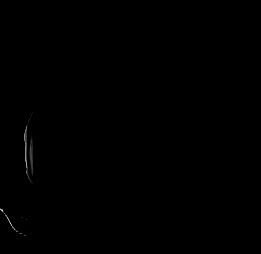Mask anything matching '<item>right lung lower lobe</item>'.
I'll return each mask as SVG.
<instances>
[{
	"instance_id": "1",
	"label": "right lung lower lobe",
	"mask_w": 261,
	"mask_h": 254,
	"mask_svg": "<svg viewBox=\"0 0 261 254\" xmlns=\"http://www.w3.org/2000/svg\"><path fill=\"white\" fill-rule=\"evenodd\" d=\"M102 143L78 124L52 119L45 131L44 149L56 186L84 200L100 196L109 174V161L98 152Z\"/></svg>"
}]
</instances>
